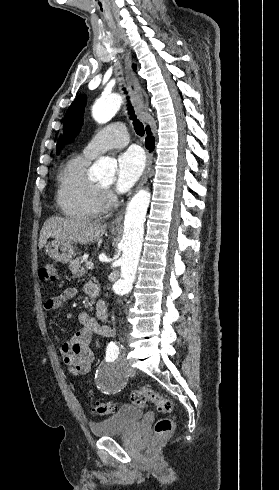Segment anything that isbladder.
Listing matches in <instances>:
<instances>
[{
    "label": "bladder",
    "instance_id": "obj_1",
    "mask_svg": "<svg viewBox=\"0 0 279 490\" xmlns=\"http://www.w3.org/2000/svg\"><path fill=\"white\" fill-rule=\"evenodd\" d=\"M146 412L139 406L121 405L111 417L103 421H94L90 424V431L94 437L115 436L123 431H131L142 422Z\"/></svg>",
    "mask_w": 279,
    "mask_h": 490
}]
</instances>
